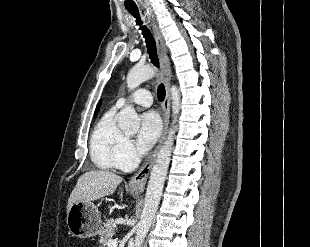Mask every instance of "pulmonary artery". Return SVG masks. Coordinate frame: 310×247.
Here are the masks:
<instances>
[{
    "mask_svg": "<svg viewBox=\"0 0 310 247\" xmlns=\"http://www.w3.org/2000/svg\"><path fill=\"white\" fill-rule=\"evenodd\" d=\"M128 102H133L138 105L148 107L152 104L153 98H152V94L150 91H148L147 89L141 88L135 91L134 93H132L128 97H122L118 99V101L115 104V108H121Z\"/></svg>",
    "mask_w": 310,
    "mask_h": 247,
    "instance_id": "1",
    "label": "pulmonary artery"
}]
</instances>
